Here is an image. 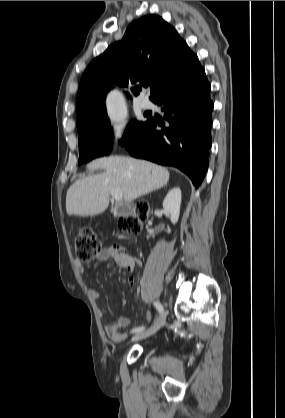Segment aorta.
<instances>
[{"mask_svg": "<svg viewBox=\"0 0 285 418\" xmlns=\"http://www.w3.org/2000/svg\"><path fill=\"white\" fill-rule=\"evenodd\" d=\"M108 115L112 122L120 123L125 119V108L122 95L118 91L109 93L106 100Z\"/></svg>", "mask_w": 285, "mask_h": 418, "instance_id": "762f6f07", "label": "aorta"}]
</instances>
